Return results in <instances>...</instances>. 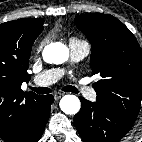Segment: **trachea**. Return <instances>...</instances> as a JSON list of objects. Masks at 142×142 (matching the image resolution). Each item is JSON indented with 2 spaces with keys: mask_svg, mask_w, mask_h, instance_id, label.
I'll return each instance as SVG.
<instances>
[{
  "mask_svg": "<svg viewBox=\"0 0 142 142\" xmlns=\"http://www.w3.org/2000/svg\"><path fill=\"white\" fill-rule=\"evenodd\" d=\"M30 89L35 91L38 94H49V93L52 92V90L50 88H47V87H38V88L30 87ZM63 91L78 93V89L74 86H65L63 88Z\"/></svg>",
  "mask_w": 142,
  "mask_h": 142,
  "instance_id": "obj_1",
  "label": "trachea"
}]
</instances>
